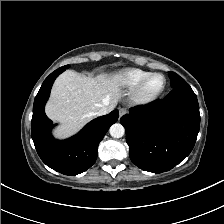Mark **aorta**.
Returning a JSON list of instances; mask_svg holds the SVG:
<instances>
[{
	"label": "aorta",
	"instance_id": "762f6f07",
	"mask_svg": "<svg viewBox=\"0 0 224 224\" xmlns=\"http://www.w3.org/2000/svg\"><path fill=\"white\" fill-rule=\"evenodd\" d=\"M109 132L112 137L121 138L125 133V129L122 124L115 123L110 127Z\"/></svg>",
	"mask_w": 224,
	"mask_h": 224
}]
</instances>
